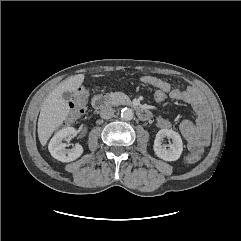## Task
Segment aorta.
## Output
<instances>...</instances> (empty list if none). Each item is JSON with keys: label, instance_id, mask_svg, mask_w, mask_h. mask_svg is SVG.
I'll return each instance as SVG.
<instances>
[{"label": "aorta", "instance_id": "obj_1", "mask_svg": "<svg viewBox=\"0 0 241 241\" xmlns=\"http://www.w3.org/2000/svg\"><path fill=\"white\" fill-rule=\"evenodd\" d=\"M133 116H134V112H133L132 109H130V108H123L121 110V117L124 120H126V121L132 120Z\"/></svg>", "mask_w": 241, "mask_h": 241}]
</instances>
